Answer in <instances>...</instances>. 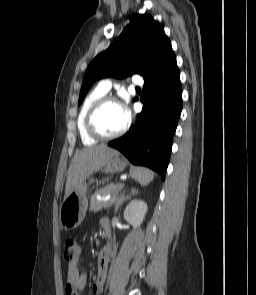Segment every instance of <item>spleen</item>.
<instances>
[{"instance_id": "spleen-1", "label": "spleen", "mask_w": 256, "mask_h": 295, "mask_svg": "<svg viewBox=\"0 0 256 295\" xmlns=\"http://www.w3.org/2000/svg\"><path fill=\"white\" fill-rule=\"evenodd\" d=\"M133 176L143 186L153 180V173L147 168H136L133 171Z\"/></svg>"}]
</instances>
